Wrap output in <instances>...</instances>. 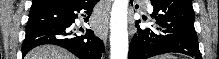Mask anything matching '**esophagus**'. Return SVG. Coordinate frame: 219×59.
Returning a JSON list of instances; mask_svg holds the SVG:
<instances>
[{"label":"esophagus","instance_id":"esophagus-1","mask_svg":"<svg viewBox=\"0 0 219 59\" xmlns=\"http://www.w3.org/2000/svg\"><path fill=\"white\" fill-rule=\"evenodd\" d=\"M112 0H103V9L108 11ZM97 35L106 43L108 37V21L107 18L104 20L100 29L96 30Z\"/></svg>","mask_w":219,"mask_h":59}]
</instances>
